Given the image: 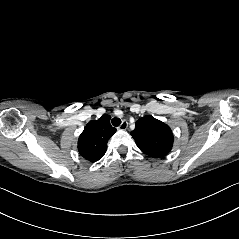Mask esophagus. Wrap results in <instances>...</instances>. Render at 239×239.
Here are the masks:
<instances>
[{
  "instance_id": "obj_1",
  "label": "esophagus",
  "mask_w": 239,
  "mask_h": 239,
  "mask_svg": "<svg viewBox=\"0 0 239 239\" xmlns=\"http://www.w3.org/2000/svg\"><path fill=\"white\" fill-rule=\"evenodd\" d=\"M128 127V122L127 121H122V123L120 124V126L118 127L119 130H126Z\"/></svg>"
}]
</instances>
